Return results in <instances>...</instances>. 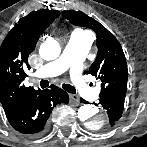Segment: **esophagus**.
I'll use <instances>...</instances> for the list:
<instances>
[{
    "mask_svg": "<svg viewBox=\"0 0 147 147\" xmlns=\"http://www.w3.org/2000/svg\"><path fill=\"white\" fill-rule=\"evenodd\" d=\"M69 98L72 102L78 103L79 102V97L75 94H69Z\"/></svg>",
    "mask_w": 147,
    "mask_h": 147,
    "instance_id": "34e87169",
    "label": "esophagus"
}]
</instances>
